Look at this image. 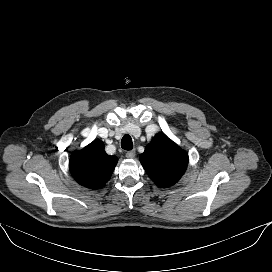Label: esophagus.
Wrapping results in <instances>:
<instances>
[{"mask_svg": "<svg viewBox=\"0 0 272 272\" xmlns=\"http://www.w3.org/2000/svg\"><path fill=\"white\" fill-rule=\"evenodd\" d=\"M126 157L129 158V159L134 158L135 157V150L128 151L126 153Z\"/></svg>", "mask_w": 272, "mask_h": 272, "instance_id": "obj_1", "label": "esophagus"}]
</instances>
